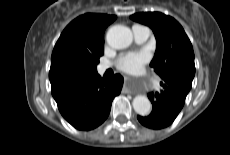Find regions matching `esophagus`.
Here are the masks:
<instances>
[{
  "label": "esophagus",
  "instance_id": "1",
  "mask_svg": "<svg viewBox=\"0 0 230 155\" xmlns=\"http://www.w3.org/2000/svg\"><path fill=\"white\" fill-rule=\"evenodd\" d=\"M124 80H125V86L124 87H125V89H127L130 92L129 85L131 84L132 79L129 76H125Z\"/></svg>",
  "mask_w": 230,
  "mask_h": 155
}]
</instances>
